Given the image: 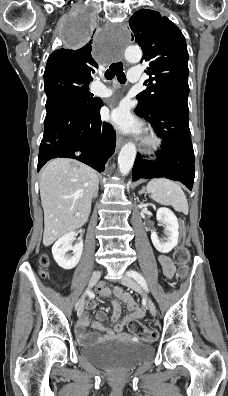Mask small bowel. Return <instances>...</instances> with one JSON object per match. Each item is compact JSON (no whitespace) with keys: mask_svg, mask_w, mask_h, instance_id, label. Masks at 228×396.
Masks as SVG:
<instances>
[{"mask_svg":"<svg viewBox=\"0 0 228 396\" xmlns=\"http://www.w3.org/2000/svg\"><path fill=\"white\" fill-rule=\"evenodd\" d=\"M158 261L162 267L164 275L167 278H172L175 273V266L171 259L165 255H160L158 257ZM98 293L105 298L115 297L116 299L123 301L127 305L130 314L118 323V319L121 314V307L118 301L112 300L113 314L111 321L115 323V326L113 328H108L102 325L101 322L106 319V314L104 311H98L96 313L97 321L92 324V327L97 332L103 333L104 336H99L96 333L87 334L85 330L89 326V313L96 305L95 301H88L85 306V312L81 315V319L75 327V333L80 343L87 344L114 337L134 339L133 336L124 332V329L131 320H138L142 318L144 316L143 310L139 308L134 299L121 288H115L114 290H111L105 285H100L98 287Z\"/></svg>","mask_w":228,"mask_h":396,"instance_id":"small-bowel-1","label":"small bowel"}]
</instances>
